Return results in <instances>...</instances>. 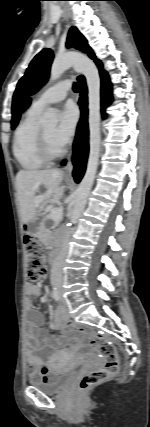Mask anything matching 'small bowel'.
Returning a JSON list of instances; mask_svg holds the SVG:
<instances>
[{
  "mask_svg": "<svg viewBox=\"0 0 150 427\" xmlns=\"http://www.w3.org/2000/svg\"><path fill=\"white\" fill-rule=\"evenodd\" d=\"M28 295L40 297L41 289L37 285L28 288ZM45 317L38 310L28 304L26 313V360L33 368L30 377L46 379L51 368L62 359L68 357L69 348L79 345L75 336L71 335L77 331L79 325L73 319H67V311L62 306H57L52 318V326L57 331H63L60 335H51L44 328ZM67 331V332H66ZM70 333V334H69ZM61 349V352L54 353ZM43 352L48 356V364L44 365L43 359L37 354Z\"/></svg>",
  "mask_w": 150,
  "mask_h": 427,
  "instance_id": "obj_1",
  "label": "small bowel"
}]
</instances>
